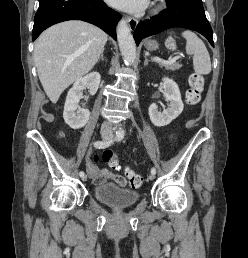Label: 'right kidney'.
<instances>
[{
	"mask_svg": "<svg viewBox=\"0 0 248 258\" xmlns=\"http://www.w3.org/2000/svg\"><path fill=\"white\" fill-rule=\"evenodd\" d=\"M100 74L98 72H92L78 79L73 87L68 91L63 118L72 129H80L86 125L89 120L90 112L87 109L79 107V101L81 98V91L88 87L90 95H94L100 84Z\"/></svg>",
	"mask_w": 248,
	"mask_h": 258,
	"instance_id": "ca27d5eb",
	"label": "right kidney"
}]
</instances>
